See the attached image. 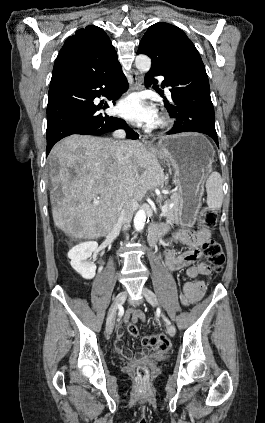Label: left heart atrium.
<instances>
[{
  "label": "left heart atrium",
  "mask_w": 265,
  "mask_h": 423,
  "mask_svg": "<svg viewBox=\"0 0 265 423\" xmlns=\"http://www.w3.org/2000/svg\"><path fill=\"white\" fill-rule=\"evenodd\" d=\"M117 113L137 124L153 125L157 112L153 106L147 105L139 95H131L119 101Z\"/></svg>",
  "instance_id": "39dd6f15"
}]
</instances>
